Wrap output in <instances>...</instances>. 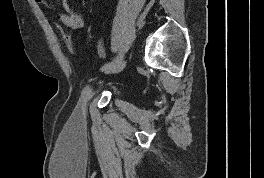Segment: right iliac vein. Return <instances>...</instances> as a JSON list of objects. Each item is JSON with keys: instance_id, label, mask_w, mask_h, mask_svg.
I'll list each match as a JSON object with an SVG mask.
<instances>
[{"instance_id": "obj_1", "label": "right iliac vein", "mask_w": 264, "mask_h": 178, "mask_svg": "<svg viewBox=\"0 0 264 178\" xmlns=\"http://www.w3.org/2000/svg\"><path fill=\"white\" fill-rule=\"evenodd\" d=\"M126 62L124 60L119 61L115 65H113L111 68L105 70L106 74H115L120 72L125 67Z\"/></svg>"}]
</instances>
